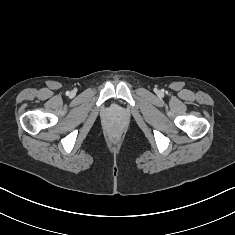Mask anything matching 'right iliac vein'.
<instances>
[{"mask_svg": "<svg viewBox=\"0 0 235 235\" xmlns=\"http://www.w3.org/2000/svg\"><path fill=\"white\" fill-rule=\"evenodd\" d=\"M74 94V92H71V95H73Z\"/></svg>", "mask_w": 235, "mask_h": 235, "instance_id": "right-iliac-vein-1", "label": "right iliac vein"}]
</instances>
